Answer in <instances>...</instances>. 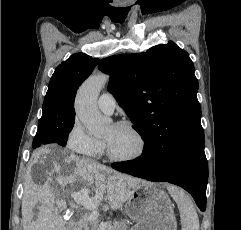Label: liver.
Returning a JSON list of instances; mask_svg holds the SVG:
<instances>
[{
  "label": "liver",
  "instance_id": "1",
  "mask_svg": "<svg viewBox=\"0 0 241 230\" xmlns=\"http://www.w3.org/2000/svg\"><path fill=\"white\" fill-rule=\"evenodd\" d=\"M35 164L44 169L46 180L37 185L29 175L24 182L21 206L23 230H66L65 222L58 214L61 201L56 198L49 184L53 176H56L55 181L63 189L68 185L76 187L82 184L81 191L92 192L93 200L101 199L106 191L109 206L113 210L120 209L129 199L132 189L141 182L72 153L63 152L61 157L55 159L47 148L33 153L31 166ZM74 194L75 191L72 192ZM36 207L37 219L33 220Z\"/></svg>",
  "mask_w": 241,
  "mask_h": 230
}]
</instances>
